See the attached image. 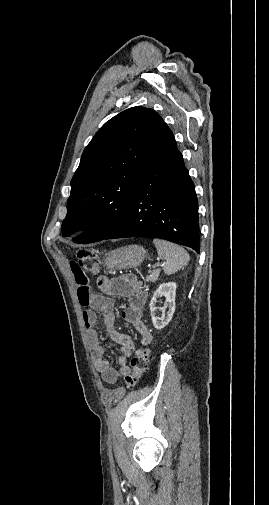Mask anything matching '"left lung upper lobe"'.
<instances>
[{
	"label": "left lung upper lobe",
	"instance_id": "obj_1",
	"mask_svg": "<svg viewBox=\"0 0 269 505\" xmlns=\"http://www.w3.org/2000/svg\"><path fill=\"white\" fill-rule=\"evenodd\" d=\"M163 119L152 109L132 107L106 122L85 148L71 180L62 234L76 243L109 235L124 217Z\"/></svg>",
	"mask_w": 269,
	"mask_h": 505
}]
</instances>
